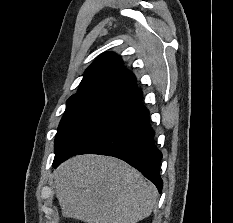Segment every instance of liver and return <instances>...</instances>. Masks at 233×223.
I'll list each match as a JSON object with an SVG mask.
<instances>
[{
  "label": "liver",
  "mask_w": 233,
  "mask_h": 223,
  "mask_svg": "<svg viewBox=\"0 0 233 223\" xmlns=\"http://www.w3.org/2000/svg\"><path fill=\"white\" fill-rule=\"evenodd\" d=\"M53 177L62 215L84 223H137L158 197L140 171L109 155H74Z\"/></svg>",
  "instance_id": "liver-1"
}]
</instances>
